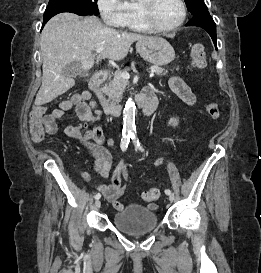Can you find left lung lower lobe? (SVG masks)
<instances>
[{"instance_id": "left-lung-lower-lobe-1", "label": "left lung lower lobe", "mask_w": 261, "mask_h": 273, "mask_svg": "<svg viewBox=\"0 0 261 273\" xmlns=\"http://www.w3.org/2000/svg\"><path fill=\"white\" fill-rule=\"evenodd\" d=\"M186 26H198L205 29L211 36L217 49L216 24L210 16L208 10L194 15L193 18L186 24Z\"/></svg>"}]
</instances>
